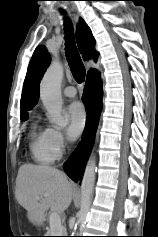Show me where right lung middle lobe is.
<instances>
[{
  "label": "right lung middle lobe",
  "instance_id": "obj_1",
  "mask_svg": "<svg viewBox=\"0 0 158 237\" xmlns=\"http://www.w3.org/2000/svg\"><path fill=\"white\" fill-rule=\"evenodd\" d=\"M28 119V116H23V117H21V120L22 121H25V120H27Z\"/></svg>",
  "mask_w": 158,
  "mask_h": 237
}]
</instances>
